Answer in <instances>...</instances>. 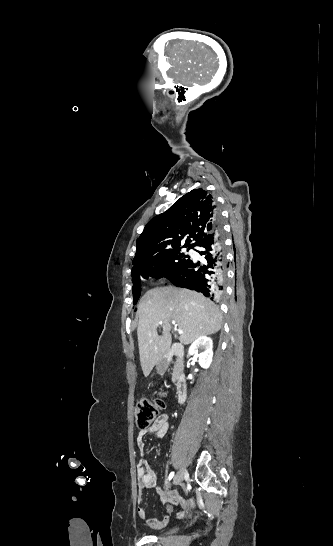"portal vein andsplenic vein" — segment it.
Returning a JSON list of instances; mask_svg holds the SVG:
<instances>
[{"instance_id":"obj_1","label":"portal vein and splenic vein","mask_w":333,"mask_h":546,"mask_svg":"<svg viewBox=\"0 0 333 546\" xmlns=\"http://www.w3.org/2000/svg\"><path fill=\"white\" fill-rule=\"evenodd\" d=\"M171 322H172V324H176V321H175V320H172ZM178 333H179V334H182L183 331H182V330H178Z\"/></svg>"}]
</instances>
